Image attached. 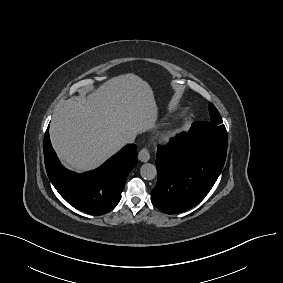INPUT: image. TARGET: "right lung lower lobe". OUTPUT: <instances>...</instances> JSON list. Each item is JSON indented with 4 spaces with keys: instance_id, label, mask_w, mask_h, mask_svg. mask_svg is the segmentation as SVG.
Wrapping results in <instances>:
<instances>
[{
    "instance_id": "1",
    "label": "right lung lower lobe",
    "mask_w": 283,
    "mask_h": 283,
    "mask_svg": "<svg viewBox=\"0 0 283 283\" xmlns=\"http://www.w3.org/2000/svg\"><path fill=\"white\" fill-rule=\"evenodd\" d=\"M44 160L49 179L69 204L88 214L103 215L113 210L121 199L126 178L137 164V146L126 145L99 168L77 174L60 164L47 128Z\"/></svg>"
}]
</instances>
